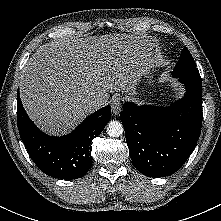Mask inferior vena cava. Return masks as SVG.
Masks as SVG:
<instances>
[{"label":"inferior vena cava","instance_id":"1","mask_svg":"<svg viewBox=\"0 0 221 221\" xmlns=\"http://www.w3.org/2000/svg\"><path fill=\"white\" fill-rule=\"evenodd\" d=\"M88 104L91 106V107H95V108H98V107H101L103 106V101L96 97V98H92L89 100Z\"/></svg>","mask_w":221,"mask_h":221}]
</instances>
